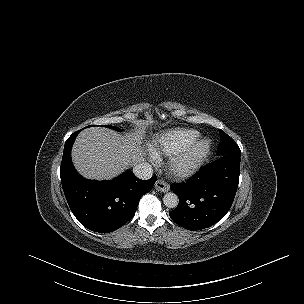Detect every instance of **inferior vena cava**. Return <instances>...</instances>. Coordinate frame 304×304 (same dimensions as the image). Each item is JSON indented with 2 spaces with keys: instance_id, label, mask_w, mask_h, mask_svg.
Here are the masks:
<instances>
[{
  "instance_id": "obj_1",
  "label": "inferior vena cava",
  "mask_w": 304,
  "mask_h": 304,
  "mask_svg": "<svg viewBox=\"0 0 304 304\" xmlns=\"http://www.w3.org/2000/svg\"><path fill=\"white\" fill-rule=\"evenodd\" d=\"M133 173L139 179L148 180L153 175V169L149 163L140 162L134 166Z\"/></svg>"
}]
</instances>
